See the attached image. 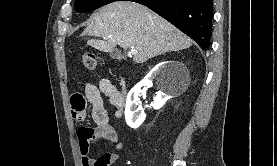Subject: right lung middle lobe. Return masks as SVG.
<instances>
[{
    "label": "right lung middle lobe",
    "mask_w": 277,
    "mask_h": 166,
    "mask_svg": "<svg viewBox=\"0 0 277 166\" xmlns=\"http://www.w3.org/2000/svg\"><path fill=\"white\" fill-rule=\"evenodd\" d=\"M114 1L119 0H76L74 3V9L77 12H88Z\"/></svg>",
    "instance_id": "obj_1"
}]
</instances>
